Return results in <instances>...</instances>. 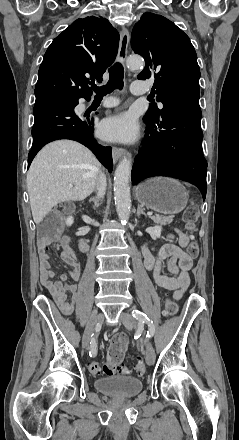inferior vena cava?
I'll use <instances>...</instances> for the list:
<instances>
[{"instance_id": "602c4592", "label": "inferior vena cava", "mask_w": 239, "mask_h": 440, "mask_svg": "<svg viewBox=\"0 0 239 440\" xmlns=\"http://www.w3.org/2000/svg\"><path fill=\"white\" fill-rule=\"evenodd\" d=\"M106 176H104V174H100L97 182H96V190H97V194L98 196H100V198H103L105 192H106Z\"/></svg>"}]
</instances>
